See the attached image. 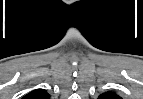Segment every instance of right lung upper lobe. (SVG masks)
Listing matches in <instances>:
<instances>
[{
	"instance_id": "1",
	"label": "right lung upper lobe",
	"mask_w": 143,
	"mask_h": 99,
	"mask_svg": "<svg viewBox=\"0 0 143 99\" xmlns=\"http://www.w3.org/2000/svg\"><path fill=\"white\" fill-rule=\"evenodd\" d=\"M49 94L44 89H35L27 94L24 99H48Z\"/></svg>"
}]
</instances>
